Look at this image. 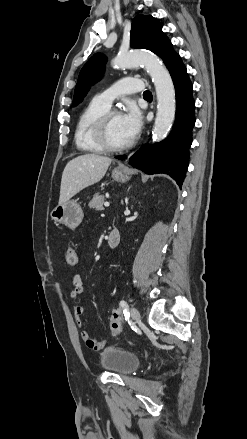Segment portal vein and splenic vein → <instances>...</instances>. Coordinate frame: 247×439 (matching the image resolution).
Masks as SVG:
<instances>
[{
    "label": "portal vein and splenic vein",
    "mask_w": 247,
    "mask_h": 439,
    "mask_svg": "<svg viewBox=\"0 0 247 439\" xmlns=\"http://www.w3.org/2000/svg\"><path fill=\"white\" fill-rule=\"evenodd\" d=\"M104 206H105V207H109V206H110V203H109V202H105V203H104Z\"/></svg>",
    "instance_id": "obj_1"
}]
</instances>
